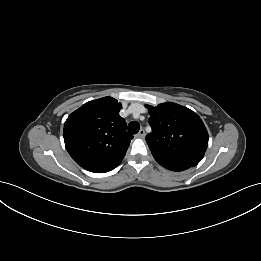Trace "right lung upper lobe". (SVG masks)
Returning <instances> with one entry per match:
<instances>
[{"instance_id":"cb5924a9","label":"right lung upper lobe","mask_w":261,"mask_h":261,"mask_svg":"<svg viewBox=\"0 0 261 261\" xmlns=\"http://www.w3.org/2000/svg\"><path fill=\"white\" fill-rule=\"evenodd\" d=\"M121 103L112 97L89 101L69 115L64 124L65 147L82 166L122 160L133 136L120 117Z\"/></svg>"}]
</instances>
